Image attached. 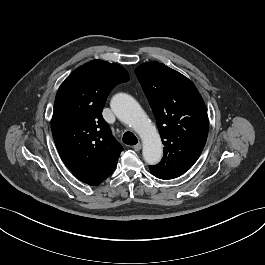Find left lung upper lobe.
Here are the masks:
<instances>
[{
  "label": "left lung upper lobe",
  "mask_w": 265,
  "mask_h": 265,
  "mask_svg": "<svg viewBox=\"0 0 265 265\" xmlns=\"http://www.w3.org/2000/svg\"><path fill=\"white\" fill-rule=\"evenodd\" d=\"M135 74L157 121L164 144L161 162L150 166L160 179L184 174L199 158L208 135L205 103L194 84L181 73L156 61Z\"/></svg>",
  "instance_id": "left-lung-upper-lobe-1"
}]
</instances>
